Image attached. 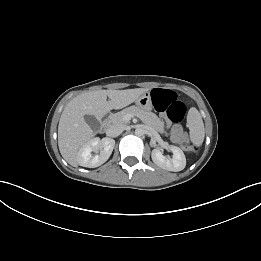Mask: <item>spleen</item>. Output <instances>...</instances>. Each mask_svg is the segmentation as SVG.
I'll list each match as a JSON object with an SVG mask.
<instances>
[{"label": "spleen", "mask_w": 261, "mask_h": 261, "mask_svg": "<svg viewBox=\"0 0 261 261\" xmlns=\"http://www.w3.org/2000/svg\"><path fill=\"white\" fill-rule=\"evenodd\" d=\"M189 124H190V138L193 144L199 146L202 144L204 140V124L200 113L196 109H192L190 111L189 117Z\"/></svg>", "instance_id": "3e777b00"}]
</instances>
